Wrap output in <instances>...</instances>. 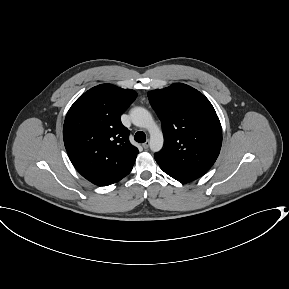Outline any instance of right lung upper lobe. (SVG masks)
<instances>
[{"label": "right lung upper lobe", "mask_w": 289, "mask_h": 289, "mask_svg": "<svg viewBox=\"0 0 289 289\" xmlns=\"http://www.w3.org/2000/svg\"><path fill=\"white\" fill-rule=\"evenodd\" d=\"M136 96L134 90L101 84L81 95L66 115L63 139L69 158L95 185L116 183L133 168L139 151L120 116Z\"/></svg>", "instance_id": "obj_1"}]
</instances>
